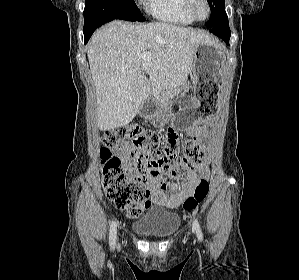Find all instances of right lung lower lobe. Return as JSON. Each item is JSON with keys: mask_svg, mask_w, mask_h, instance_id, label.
Returning a JSON list of instances; mask_svg holds the SVG:
<instances>
[{"mask_svg": "<svg viewBox=\"0 0 299 280\" xmlns=\"http://www.w3.org/2000/svg\"><path fill=\"white\" fill-rule=\"evenodd\" d=\"M115 19L136 21L110 0H85L83 28L85 44L98 27Z\"/></svg>", "mask_w": 299, "mask_h": 280, "instance_id": "1", "label": "right lung lower lobe"}]
</instances>
